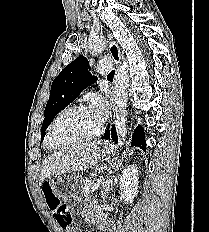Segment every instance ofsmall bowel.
Returning <instances> with one entry per match:
<instances>
[{
	"instance_id": "1",
	"label": "small bowel",
	"mask_w": 209,
	"mask_h": 232,
	"mask_svg": "<svg viewBox=\"0 0 209 232\" xmlns=\"http://www.w3.org/2000/svg\"><path fill=\"white\" fill-rule=\"evenodd\" d=\"M90 210L92 211V214L94 216V218L99 222V223H102L103 220H102V216L101 214L99 213V211L97 210L96 207H93V206H90L89 207ZM61 227V226H60ZM64 229V232H81L80 229L78 228H75V227H67V228H62Z\"/></svg>"
}]
</instances>
